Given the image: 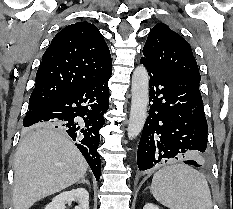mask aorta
I'll return each mask as SVG.
<instances>
[{"label": "aorta", "mask_w": 233, "mask_h": 209, "mask_svg": "<svg viewBox=\"0 0 233 209\" xmlns=\"http://www.w3.org/2000/svg\"><path fill=\"white\" fill-rule=\"evenodd\" d=\"M132 100L127 134L130 140L136 138L143 129L147 118L149 99V76L147 69L140 65L132 75Z\"/></svg>", "instance_id": "obj_1"}]
</instances>
